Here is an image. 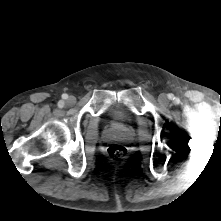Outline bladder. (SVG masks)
<instances>
[{
  "label": "bladder",
  "instance_id": "1",
  "mask_svg": "<svg viewBox=\"0 0 221 221\" xmlns=\"http://www.w3.org/2000/svg\"><path fill=\"white\" fill-rule=\"evenodd\" d=\"M108 116L111 121L116 123H128L131 115L126 108L120 105H112L108 108Z\"/></svg>",
  "mask_w": 221,
  "mask_h": 221
}]
</instances>
